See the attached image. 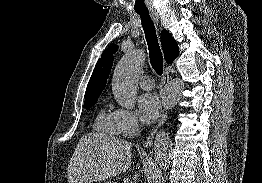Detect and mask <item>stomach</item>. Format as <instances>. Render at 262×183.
Segmentation results:
<instances>
[{"label":"stomach","instance_id":"0dacf381","mask_svg":"<svg viewBox=\"0 0 262 183\" xmlns=\"http://www.w3.org/2000/svg\"><path fill=\"white\" fill-rule=\"evenodd\" d=\"M105 183H113V181H107V182H105Z\"/></svg>","mask_w":262,"mask_h":183}]
</instances>
